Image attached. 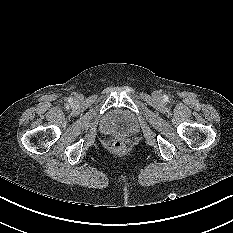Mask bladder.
<instances>
[{
    "mask_svg": "<svg viewBox=\"0 0 233 233\" xmlns=\"http://www.w3.org/2000/svg\"><path fill=\"white\" fill-rule=\"evenodd\" d=\"M100 130L107 135L130 136L137 132L138 123L129 111L113 109L102 117Z\"/></svg>",
    "mask_w": 233,
    "mask_h": 233,
    "instance_id": "1",
    "label": "bladder"
}]
</instances>
